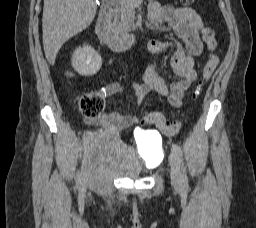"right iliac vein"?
Segmentation results:
<instances>
[{
  "instance_id": "63e3f726",
  "label": "right iliac vein",
  "mask_w": 256,
  "mask_h": 228,
  "mask_svg": "<svg viewBox=\"0 0 256 228\" xmlns=\"http://www.w3.org/2000/svg\"><path fill=\"white\" fill-rule=\"evenodd\" d=\"M84 157L88 158L91 154V144L90 143H84ZM86 166H89V160H86ZM90 180V173L87 169H84L81 173V185H85Z\"/></svg>"
}]
</instances>
